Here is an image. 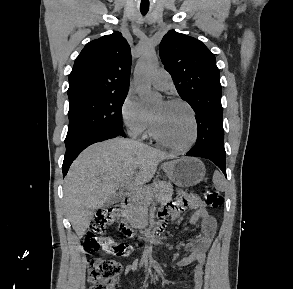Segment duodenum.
I'll return each mask as SVG.
<instances>
[{"mask_svg":"<svg viewBox=\"0 0 293 289\" xmlns=\"http://www.w3.org/2000/svg\"><path fill=\"white\" fill-rule=\"evenodd\" d=\"M129 205H130V199L127 195H125L119 204L120 212L124 214L129 208ZM161 227L162 226L158 224L155 227L147 228L143 230L141 233L142 238L148 242L154 241L157 238V236L160 234ZM119 228L123 233L127 235H131L133 232L124 219H121L119 221Z\"/></svg>","mask_w":293,"mask_h":289,"instance_id":"obj_1","label":"duodenum"}]
</instances>
